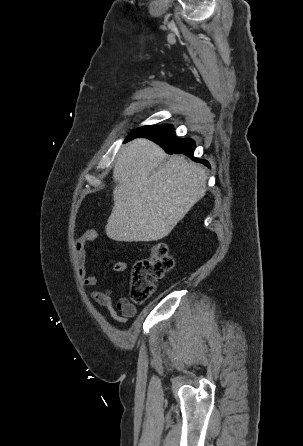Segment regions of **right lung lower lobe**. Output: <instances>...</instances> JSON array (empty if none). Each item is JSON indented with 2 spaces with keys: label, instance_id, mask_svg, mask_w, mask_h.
<instances>
[{
  "label": "right lung lower lobe",
  "instance_id": "98d812e1",
  "mask_svg": "<svg viewBox=\"0 0 303 446\" xmlns=\"http://www.w3.org/2000/svg\"><path fill=\"white\" fill-rule=\"evenodd\" d=\"M137 137L148 138L158 143L168 154L181 153L189 156L190 158L193 157V152L195 149L194 141L192 139L177 138L172 125L152 126L150 129L134 138ZM195 160L210 166L206 160H198L197 158Z\"/></svg>",
  "mask_w": 303,
  "mask_h": 446
}]
</instances>
